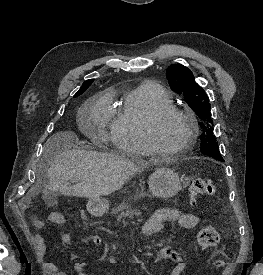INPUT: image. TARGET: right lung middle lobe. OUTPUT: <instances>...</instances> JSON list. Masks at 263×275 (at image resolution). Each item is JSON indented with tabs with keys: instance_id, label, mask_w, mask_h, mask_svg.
I'll return each mask as SVG.
<instances>
[{
	"instance_id": "obj_1",
	"label": "right lung middle lobe",
	"mask_w": 263,
	"mask_h": 275,
	"mask_svg": "<svg viewBox=\"0 0 263 275\" xmlns=\"http://www.w3.org/2000/svg\"><path fill=\"white\" fill-rule=\"evenodd\" d=\"M86 89H87V87L84 90H82L79 93H77L74 97H77V96L81 95Z\"/></svg>"
}]
</instances>
